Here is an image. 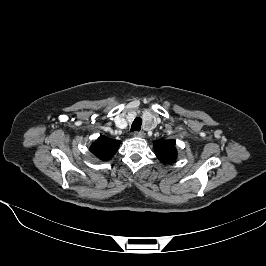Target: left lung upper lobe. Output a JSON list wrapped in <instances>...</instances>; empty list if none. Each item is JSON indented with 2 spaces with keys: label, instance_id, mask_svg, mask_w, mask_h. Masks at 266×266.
<instances>
[{
  "label": "left lung upper lobe",
  "instance_id": "1",
  "mask_svg": "<svg viewBox=\"0 0 266 266\" xmlns=\"http://www.w3.org/2000/svg\"><path fill=\"white\" fill-rule=\"evenodd\" d=\"M176 142L170 140H156L153 143L157 158L163 163H172L177 158Z\"/></svg>",
  "mask_w": 266,
  "mask_h": 266
}]
</instances>
